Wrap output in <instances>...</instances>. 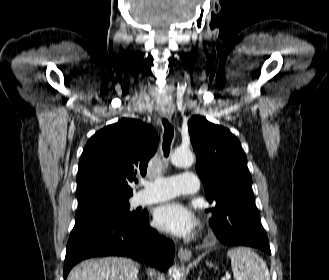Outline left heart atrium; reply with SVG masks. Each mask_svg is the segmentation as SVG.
<instances>
[{
  "instance_id": "1",
  "label": "left heart atrium",
  "mask_w": 329,
  "mask_h": 280,
  "mask_svg": "<svg viewBox=\"0 0 329 280\" xmlns=\"http://www.w3.org/2000/svg\"><path fill=\"white\" fill-rule=\"evenodd\" d=\"M154 219L159 229L179 237L191 236L196 227L194 215L178 202L158 207Z\"/></svg>"
}]
</instances>
